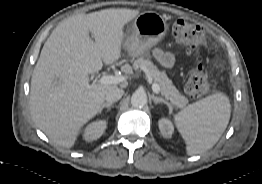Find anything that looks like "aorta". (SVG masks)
Masks as SVG:
<instances>
[{"instance_id": "obj_1", "label": "aorta", "mask_w": 262, "mask_h": 184, "mask_svg": "<svg viewBox=\"0 0 262 184\" xmlns=\"http://www.w3.org/2000/svg\"><path fill=\"white\" fill-rule=\"evenodd\" d=\"M131 104L134 107L142 108L147 104V95L144 91H136L131 96Z\"/></svg>"}]
</instances>
